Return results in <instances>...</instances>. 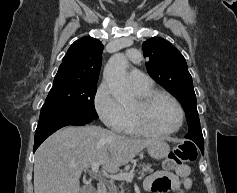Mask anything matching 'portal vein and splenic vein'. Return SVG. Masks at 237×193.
<instances>
[{"mask_svg": "<svg viewBox=\"0 0 237 193\" xmlns=\"http://www.w3.org/2000/svg\"><path fill=\"white\" fill-rule=\"evenodd\" d=\"M99 166H100V162H95L91 165V171L95 174H99L102 176H105L107 178H110L111 180H118V181H127V182H132L133 181V177L134 174L132 171L130 172H125V173H119V174H108L106 172H100L99 171Z\"/></svg>", "mask_w": 237, "mask_h": 193, "instance_id": "18ae733b", "label": "portal vein and splenic vein"}]
</instances>
